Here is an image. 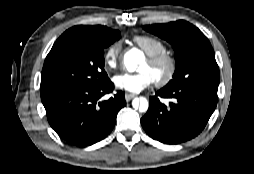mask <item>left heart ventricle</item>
Returning a JSON list of instances; mask_svg holds the SVG:
<instances>
[{
    "mask_svg": "<svg viewBox=\"0 0 254 174\" xmlns=\"http://www.w3.org/2000/svg\"><path fill=\"white\" fill-rule=\"evenodd\" d=\"M141 71H146L151 74L154 80L162 78L166 73V65L161 64L158 66H151L147 61H145L141 67Z\"/></svg>",
    "mask_w": 254,
    "mask_h": 174,
    "instance_id": "b2bd125f",
    "label": "left heart ventricle"
}]
</instances>
